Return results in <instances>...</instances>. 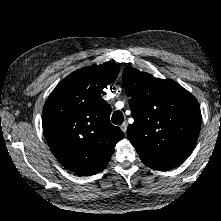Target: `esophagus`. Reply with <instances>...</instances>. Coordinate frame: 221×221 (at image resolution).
<instances>
[{
	"label": "esophagus",
	"instance_id": "esophagus-1",
	"mask_svg": "<svg viewBox=\"0 0 221 221\" xmlns=\"http://www.w3.org/2000/svg\"><path fill=\"white\" fill-rule=\"evenodd\" d=\"M127 127H128V122L125 121V122L121 125V130H122L124 133H126Z\"/></svg>",
	"mask_w": 221,
	"mask_h": 221
}]
</instances>
